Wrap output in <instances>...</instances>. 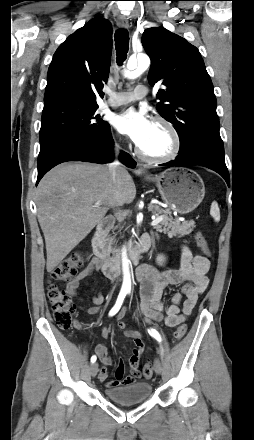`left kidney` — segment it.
<instances>
[{"label":"left kidney","mask_w":254,"mask_h":440,"mask_svg":"<svg viewBox=\"0 0 254 440\" xmlns=\"http://www.w3.org/2000/svg\"><path fill=\"white\" fill-rule=\"evenodd\" d=\"M164 257L163 256H159L158 258H157V261H158V263L159 264H162L163 262H164Z\"/></svg>","instance_id":"obj_1"}]
</instances>
